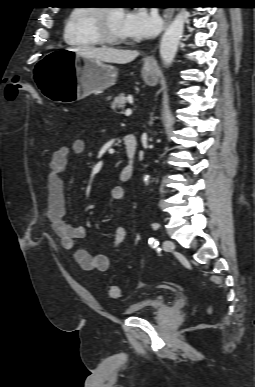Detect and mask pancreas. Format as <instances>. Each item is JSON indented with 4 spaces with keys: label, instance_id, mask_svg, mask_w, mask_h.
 Segmentation results:
<instances>
[{
    "label": "pancreas",
    "instance_id": "1",
    "mask_svg": "<svg viewBox=\"0 0 255 387\" xmlns=\"http://www.w3.org/2000/svg\"><path fill=\"white\" fill-rule=\"evenodd\" d=\"M126 103H127V100L125 98V95L121 93L114 98L113 102L111 103V108L115 112H118L119 110H123L125 108ZM118 113H122V112H118Z\"/></svg>",
    "mask_w": 255,
    "mask_h": 387
}]
</instances>
